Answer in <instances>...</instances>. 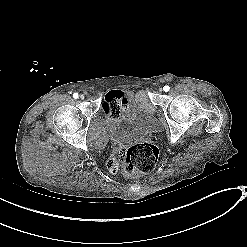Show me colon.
I'll return each instance as SVG.
<instances>
[{"label":"colon","mask_w":247,"mask_h":247,"mask_svg":"<svg viewBox=\"0 0 247 247\" xmlns=\"http://www.w3.org/2000/svg\"><path fill=\"white\" fill-rule=\"evenodd\" d=\"M159 148L150 142H143L125 149L122 153L118 176L129 184L138 181L159 161Z\"/></svg>","instance_id":"obj_1"}]
</instances>
